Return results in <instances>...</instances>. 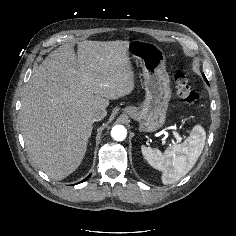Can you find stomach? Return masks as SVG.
<instances>
[{
    "instance_id": "stomach-1",
    "label": "stomach",
    "mask_w": 236,
    "mask_h": 236,
    "mask_svg": "<svg viewBox=\"0 0 236 236\" xmlns=\"http://www.w3.org/2000/svg\"><path fill=\"white\" fill-rule=\"evenodd\" d=\"M128 55L137 59L143 71L145 100L139 106H129L123 111L139 123L142 132H154L166 121L172 97L169 76L165 70V55L155 43L134 40L128 43Z\"/></svg>"
}]
</instances>
